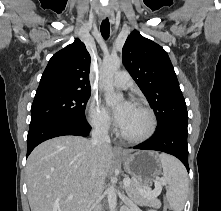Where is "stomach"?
<instances>
[{"mask_svg":"<svg viewBox=\"0 0 221 211\" xmlns=\"http://www.w3.org/2000/svg\"><path fill=\"white\" fill-rule=\"evenodd\" d=\"M124 170L146 188L161 173L159 155L153 151H137L134 154L119 156Z\"/></svg>","mask_w":221,"mask_h":211,"instance_id":"0dacf381","label":"stomach"}]
</instances>
